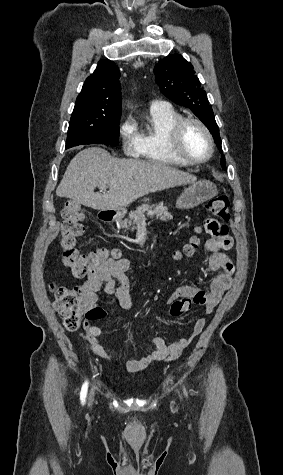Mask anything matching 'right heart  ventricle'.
<instances>
[{"label": "right heart ventricle", "mask_w": 283, "mask_h": 475, "mask_svg": "<svg viewBox=\"0 0 283 475\" xmlns=\"http://www.w3.org/2000/svg\"><path fill=\"white\" fill-rule=\"evenodd\" d=\"M182 118L170 104L150 107L147 120L135 128L141 142L139 157L145 161L165 162L159 152V144L166 141L169 127Z\"/></svg>", "instance_id": "right-heart-ventricle-1"}]
</instances>
